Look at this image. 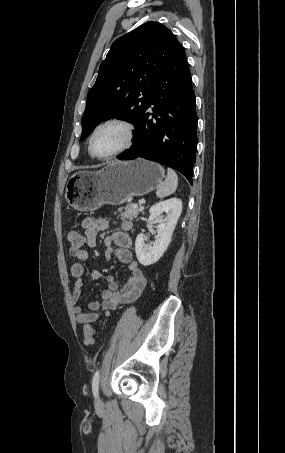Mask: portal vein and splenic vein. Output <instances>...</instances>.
<instances>
[{
  "label": "portal vein and splenic vein",
  "instance_id": "portal-vein-and-splenic-vein-1",
  "mask_svg": "<svg viewBox=\"0 0 285 453\" xmlns=\"http://www.w3.org/2000/svg\"><path fill=\"white\" fill-rule=\"evenodd\" d=\"M133 208H138V204H133Z\"/></svg>",
  "mask_w": 285,
  "mask_h": 453
}]
</instances>
